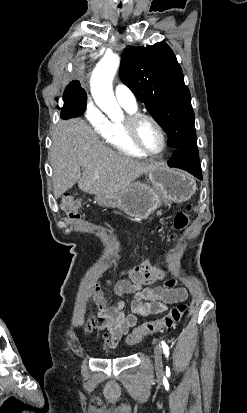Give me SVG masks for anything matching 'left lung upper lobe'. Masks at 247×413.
Listing matches in <instances>:
<instances>
[{"mask_svg": "<svg viewBox=\"0 0 247 413\" xmlns=\"http://www.w3.org/2000/svg\"><path fill=\"white\" fill-rule=\"evenodd\" d=\"M119 73L122 82L165 130L172 149L197 146L190 91L165 42L124 50Z\"/></svg>", "mask_w": 247, "mask_h": 413, "instance_id": "1", "label": "left lung upper lobe"}]
</instances>
